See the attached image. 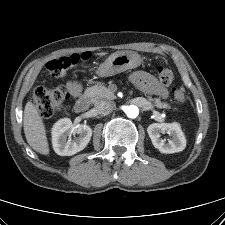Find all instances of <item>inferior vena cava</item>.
Segmentation results:
<instances>
[{
    "instance_id": "602c4592",
    "label": "inferior vena cava",
    "mask_w": 225,
    "mask_h": 225,
    "mask_svg": "<svg viewBox=\"0 0 225 225\" xmlns=\"http://www.w3.org/2000/svg\"><path fill=\"white\" fill-rule=\"evenodd\" d=\"M95 106L100 113L111 112L116 107L115 103L109 100H99L96 102Z\"/></svg>"
}]
</instances>
